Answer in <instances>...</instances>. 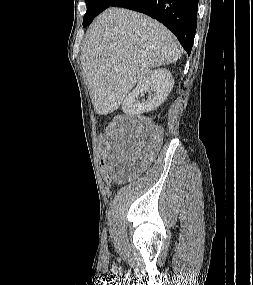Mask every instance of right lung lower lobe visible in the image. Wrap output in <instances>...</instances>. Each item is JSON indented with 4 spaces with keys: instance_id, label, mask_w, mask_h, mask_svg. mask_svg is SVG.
<instances>
[{
    "instance_id": "right-lung-lower-lobe-1",
    "label": "right lung lower lobe",
    "mask_w": 253,
    "mask_h": 285,
    "mask_svg": "<svg viewBox=\"0 0 253 285\" xmlns=\"http://www.w3.org/2000/svg\"><path fill=\"white\" fill-rule=\"evenodd\" d=\"M199 0H115L109 7L135 10L163 23L186 50L191 53Z\"/></svg>"
}]
</instances>
